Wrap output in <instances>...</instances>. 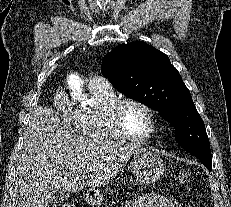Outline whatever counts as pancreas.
<instances>
[{"mask_svg": "<svg viewBox=\"0 0 231 207\" xmlns=\"http://www.w3.org/2000/svg\"><path fill=\"white\" fill-rule=\"evenodd\" d=\"M113 204H115V202H114V201L109 202V204L105 203L104 205H105V207H110V206H112Z\"/></svg>", "mask_w": 231, "mask_h": 207, "instance_id": "pancreas-1", "label": "pancreas"}]
</instances>
